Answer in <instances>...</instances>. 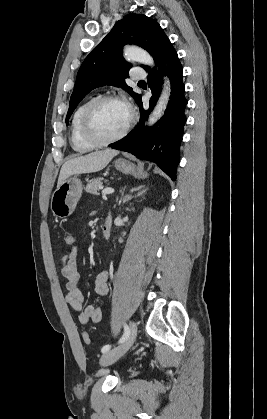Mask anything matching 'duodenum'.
Masks as SVG:
<instances>
[{
  "mask_svg": "<svg viewBox=\"0 0 267 419\" xmlns=\"http://www.w3.org/2000/svg\"><path fill=\"white\" fill-rule=\"evenodd\" d=\"M112 230V219L107 217L102 226V237L107 240L111 235Z\"/></svg>",
  "mask_w": 267,
  "mask_h": 419,
  "instance_id": "1",
  "label": "duodenum"
}]
</instances>
